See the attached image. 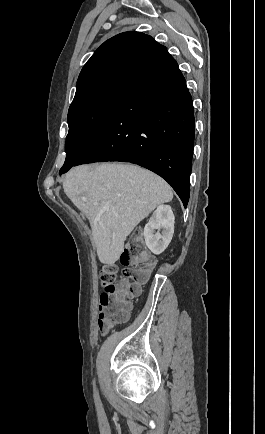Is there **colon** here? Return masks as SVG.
Returning <instances> with one entry per match:
<instances>
[{"mask_svg":"<svg viewBox=\"0 0 265 434\" xmlns=\"http://www.w3.org/2000/svg\"><path fill=\"white\" fill-rule=\"evenodd\" d=\"M154 263L153 257L143 252L142 242L135 233L121 255V267L114 264L103 266L99 278L106 292L99 297L102 308L98 311L101 318L100 326L96 328L97 335H108V327H118L120 322H127L128 316L125 312L129 304L119 296L123 293L131 298L138 296L141 287L148 282ZM118 273L123 276L121 282L118 280ZM114 295L118 297L116 300H112ZM105 316L107 318H104Z\"/></svg>","mask_w":265,"mask_h":434,"instance_id":"colon-1","label":"colon"}]
</instances>
